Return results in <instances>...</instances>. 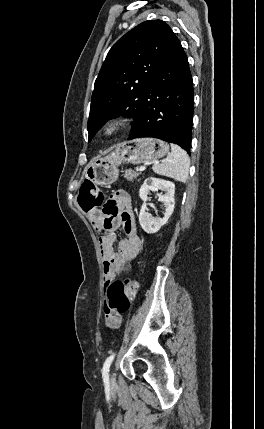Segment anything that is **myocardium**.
Here are the masks:
<instances>
[{
  "label": "myocardium",
  "instance_id": "1",
  "mask_svg": "<svg viewBox=\"0 0 264 429\" xmlns=\"http://www.w3.org/2000/svg\"><path fill=\"white\" fill-rule=\"evenodd\" d=\"M127 125V120L122 117H113L108 119L100 129V135L103 138H111L120 133Z\"/></svg>",
  "mask_w": 264,
  "mask_h": 429
}]
</instances>
